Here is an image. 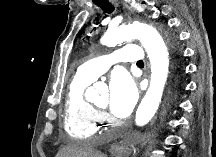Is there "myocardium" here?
Segmentation results:
<instances>
[{"label": "myocardium", "mask_w": 216, "mask_h": 157, "mask_svg": "<svg viewBox=\"0 0 216 157\" xmlns=\"http://www.w3.org/2000/svg\"><path fill=\"white\" fill-rule=\"evenodd\" d=\"M95 108L97 109H100V110H103L104 109V106H100L98 105L97 103L94 104Z\"/></svg>", "instance_id": "myocardium-1"}]
</instances>
